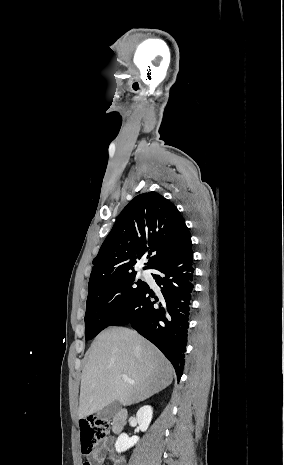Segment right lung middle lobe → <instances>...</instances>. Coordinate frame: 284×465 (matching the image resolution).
Here are the masks:
<instances>
[{
    "label": "right lung middle lobe",
    "mask_w": 284,
    "mask_h": 465,
    "mask_svg": "<svg viewBox=\"0 0 284 465\" xmlns=\"http://www.w3.org/2000/svg\"><path fill=\"white\" fill-rule=\"evenodd\" d=\"M147 283L137 273L104 282L90 290L86 302L85 338L90 340L110 326Z\"/></svg>",
    "instance_id": "right-lung-middle-lobe-1"
}]
</instances>
